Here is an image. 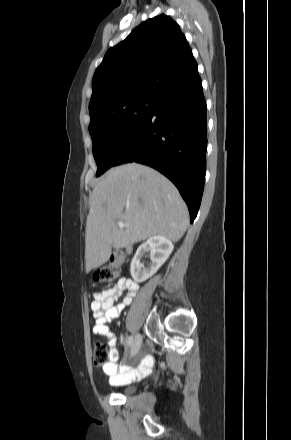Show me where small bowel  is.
<instances>
[{"label":"small bowel","mask_w":291,"mask_h":440,"mask_svg":"<svg viewBox=\"0 0 291 440\" xmlns=\"http://www.w3.org/2000/svg\"><path fill=\"white\" fill-rule=\"evenodd\" d=\"M126 290L127 293L122 301L114 305V301L118 298L120 292ZM138 286L135 282L127 278H120L117 284L111 287H102L100 291L93 294L91 310L95 318L93 333L105 336L109 346L110 358L104 364L103 371L109 378L111 385H121L126 382L139 379L141 376L150 373L153 365L151 356H144L139 360L138 367L122 366L119 364V352L116 344L117 339L113 333L110 323L114 322L115 326L119 323L116 321L125 307L130 305L136 295ZM123 341V338H121Z\"/></svg>","instance_id":"obj_1"}]
</instances>
